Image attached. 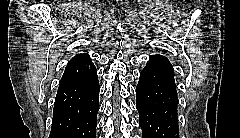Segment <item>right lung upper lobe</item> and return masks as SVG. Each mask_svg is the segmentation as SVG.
Returning <instances> with one entry per match:
<instances>
[{
	"mask_svg": "<svg viewBox=\"0 0 240 138\" xmlns=\"http://www.w3.org/2000/svg\"><path fill=\"white\" fill-rule=\"evenodd\" d=\"M96 73V68L87 53L77 54L67 64L59 87L79 83Z\"/></svg>",
	"mask_w": 240,
	"mask_h": 138,
	"instance_id": "obj_1",
	"label": "right lung upper lobe"
}]
</instances>
